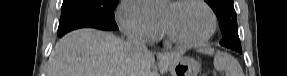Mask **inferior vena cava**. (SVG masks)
<instances>
[{
	"instance_id": "obj_1",
	"label": "inferior vena cava",
	"mask_w": 287,
	"mask_h": 76,
	"mask_svg": "<svg viewBox=\"0 0 287 76\" xmlns=\"http://www.w3.org/2000/svg\"><path fill=\"white\" fill-rule=\"evenodd\" d=\"M127 43L134 53H146L148 48L145 43H143L139 38L133 34L127 35Z\"/></svg>"
}]
</instances>
